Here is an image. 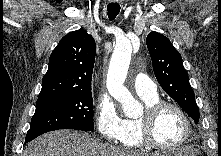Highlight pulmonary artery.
Segmentation results:
<instances>
[{
  "label": "pulmonary artery",
  "instance_id": "pulmonary-artery-1",
  "mask_svg": "<svg viewBox=\"0 0 221 156\" xmlns=\"http://www.w3.org/2000/svg\"><path fill=\"white\" fill-rule=\"evenodd\" d=\"M134 89L139 96H155L157 88L155 83L143 73L138 74L134 80Z\"/></svg>",
  "mask_w": 221,
  "mask_h": 156
}]
</instances>
